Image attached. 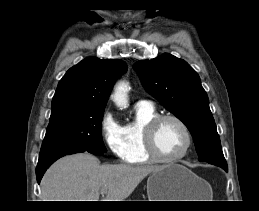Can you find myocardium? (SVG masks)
I'll use <instances>...</instances> for the list:
<instances>
[{
	"label": "myocardium",
	"instance_id": "1",
	"mask_svg": "<svg viewBox=\"0 0 259 211\" xmlns=\"http://www.w3.org/2000/svg\"><path fill=\"white\" fill-rule=\"evenodd\" d=\"M165 120H172L176 122L183 130L186 137V145L182 152L174 157H165L161 155L156 146V131L159 125ZM144 147L153 161L173 163L183 159L190 151L193 144L192 134L186 123L174 114H159L151 119L143 128Z\"/></svg>",
	"mask_w": 259,
	"mask_h": 211
}]
</instances>
